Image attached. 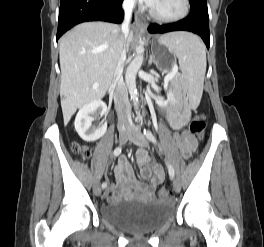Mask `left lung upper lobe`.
I'll list each match as a JSON object with an SVG mask.
<instances>
[{
    "instance_id": "5c2ea615",
    "label": "left lung upper lobe",
    "mask_w": 264,
    "mask_h": 247,
    "mask_svg": "<svg viewBox=\"0 0 264 247\" xmlns=\"http://www.w3.org/2000/svg\"><path fill=\"white\" fill-rule=\"evenodd\" d=\"M190 1L206 2V0H190Z\"/></svg>"
}]
</instances>
